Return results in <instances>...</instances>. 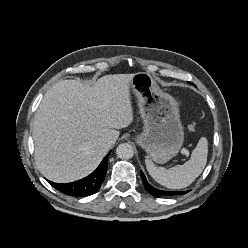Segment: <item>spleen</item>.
I'll list each match as a JSON object with an SVG mask.
<instances>
[{"instance_id": "obj_1", "label": "spleen", "mask_w": 248, "mask_h": 248, "mask_svg": "<svg viewBox=\"0 0 248 248\" xmlns=\"http://www.w3.org/2000/svg\"><path fill=\"white\" fill-rule=\"evenodd\" d=\"M208 154V141L202 137L191 153V158L183 165L170 169L157 168L150 159L145 160L150 176L159 184L170 189H182L189 186L202 173L206 166Z\"/></svg>"}]
</instances>
